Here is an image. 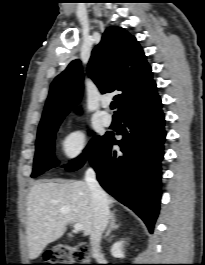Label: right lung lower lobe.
Instances as JSON below:
<instances>
[{
	"mask_svg": "<svg viewBox=\"0 0 205 265\" xmlns=\"http://www.w3.org/2000/svg\"><path fill=\"white\" fill-rule=\"evenodd\" d=\"M161 99L153 93L141 104L119 113L121 140L105 138L90 158L101 186L131 208L153 232L161 197L160 162L165 140ZM119 145L120 151L114 146Z\"/></svg>",
	"mask_w": 205,
	"mask_h": 265,
	"instance_id": "98d812e1",
	"label": "right lung lower lobe"
}]
</instances>
